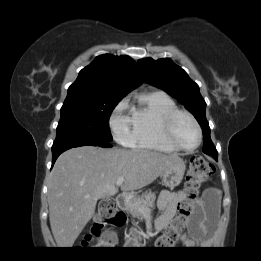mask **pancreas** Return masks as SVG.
Listing matches in <instances>:
<instances>
[{"label": "pancreas", "mask_w": 261, "mask_h": 261, "mask_svg": "<svg viewBox=\"0 0 261 261\" xmlns=\"http://www.w3.org/2000/svg\"><path fill=\"white\" fill-rule=\"evenodd\" d=\"M156 196L151 191L145 192L141 197H136L131 199L127 205L126 209L130 214L139 220H142L145 215L151 213V208L154 207ZM140 235L136 232H132V236L127 239L128 242L133 244H138L140 240Z\"/></svg>", "instance_id": "obj_1"}]
</instances>
